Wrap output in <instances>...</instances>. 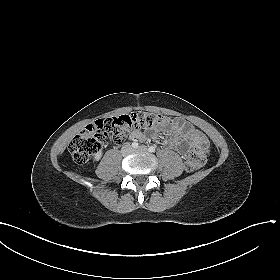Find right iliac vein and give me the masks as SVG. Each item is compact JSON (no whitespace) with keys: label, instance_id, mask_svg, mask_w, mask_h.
<instances>
[{"label":"right iliac vein","instance_id":"obj_1","mask_svg":"<svg viewBox=\"0 0 280 280\" xmlns=\"http://www.w3.org/2000/svg\"><path fill=\"white\" fill-rule=\"evenodd\" d=\"M123 153L128 154L132 152V148L129 145L123 147Z\"/></svg>","mask_w":280,"mask_h":280}]
</instances>
